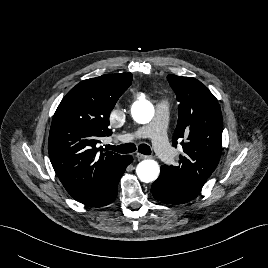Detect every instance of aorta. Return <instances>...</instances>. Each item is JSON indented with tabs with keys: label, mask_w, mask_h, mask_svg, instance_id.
I'll return each mask as SVG.
<instances>
[{
	"label": "aorta",
	"mask_w": 268,
	"mask_h": 268,
	"mask_svg": "<svg viewBox=\"0 0 268 268\" xmlns=\"http://www.w3.org/2000/svg\"><path fill=\"white\" fill-rule=\"evenodd\" d=\"M133 119L139 124L149 123L154 116V107L147 100L136 101L131 108ZM160 173L158 163L152 159L141 161L136 167V174L140 181L149 183L155 181Z\"/></svg>",
	"instance_id": "762f6f07"
}]
</instances>
